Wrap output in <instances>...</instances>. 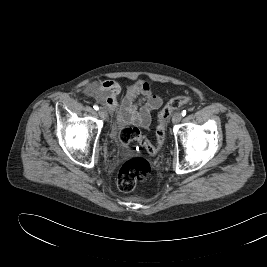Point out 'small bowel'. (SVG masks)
Returning <instances> with one entry per match:
<instances>
[{
	"instance_id": "c3829d8e",
	"label": "small bowel",
	"mask_w": 267,
	"mask_h": 267,
	"mask_svg": "<svg viewBox=\"0 0 267 267\" xmlns=\"http://www.w3.org/2000/svg\"><path fill=\"white\" fill-rule=\"evenodd\" d=\"M121 91V85L114 80L93 82L87 86V93L116 115L119 127L135 125L147 129L152 121V112L162 106V98L153 92L148 82L143 80L130 84L119 104L118 96Z\"/></svg>"
}]
</instances>
